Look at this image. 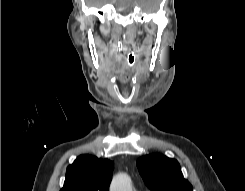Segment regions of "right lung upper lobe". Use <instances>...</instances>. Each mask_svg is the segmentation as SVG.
Returning <instances> with one entry per match:
<instances>
[{
  "label": "right lung upper lobe",
  "mask_w": 245,
  "mask_h": 191,
  "mask_svg": "<svg viewBox=\"0 0 245 191\" xmlns=\"http://www.w3.org/2000/svg\"><path fill=\"white\" fill-rule=\"evenodd\" d=\"M114 163L92 155H81L69 165L60 191H108Z\"/></svg>",
  "instance_id": "right-lung-upper-lobe-1"
}]
</instances>
